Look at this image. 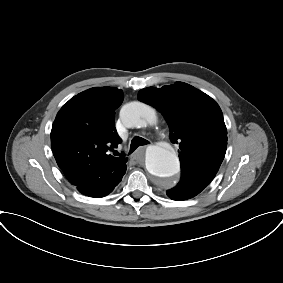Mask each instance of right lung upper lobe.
<instances>
[{
	"label": "right lung upper lobe",
	"instance_id": "cb5924a9",
	"mask_svg": "<svg viewBox=\"0 0 283 283\" xmlns=\"http://www.w3.org/2000/svg\"><path fill=\"white\" fill-rule=\"evenodd\" d=\"M123 98L117 88H91L71 98L58 112L52 125L51 147L71 184L76 186L97 176L104 167L126 165L127 158L109 153L122 141L115 128V110Z\"/></svg>",
	"mask_w": 283,
	"mask_h": 283
}]
</instances>
